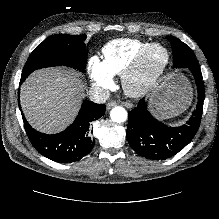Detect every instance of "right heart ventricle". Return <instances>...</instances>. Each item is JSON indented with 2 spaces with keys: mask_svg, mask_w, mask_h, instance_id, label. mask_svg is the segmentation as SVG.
<instances>
[{
  "mask_svg": "<svg viewBox=\"0 0 219 219\" xmlns=\"http://www.w3.org/2000/svg\"><path fill=\"white\" fill-rule=\"evenodd\" d=\"M153 43L134 38H117L102 49V62L110 74H122L124 70Z\"/></svg>",
  "mask_w": 219,
  "mask_h": 219,
  "instance_id": "1",
  "label": "right heart ventricle"
}]
</instances>
